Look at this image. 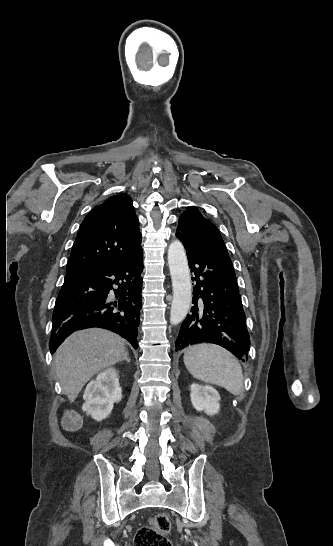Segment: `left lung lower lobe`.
<instances>
[{"mask_svg":"<svg viewBox=\"0 0 333 546\" xmlns=\"http://www.w3.org/2000/svg\"><path fill=\"white\" fill-rule=\"evenodd\" d=\"M176 237L187 250L189 267L195 276L192 278L195 284L194 306L181 325L176 350L194 343L209 342L245 359L250 339L230 257L204 247L179 226Z\"/></svg>","mask_w":333,"mask_h":546,"instance_id":"left-lung-lower-lobe-1","label":"left lung lower lobe"}]
</instances>
